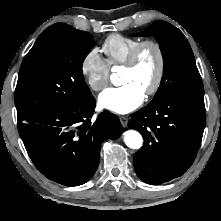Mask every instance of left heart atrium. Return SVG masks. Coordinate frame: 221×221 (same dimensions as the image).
<instances>
[{
	"mask_svg": "<svg viewBox=\"0 0 221 221\" xmlns=\"http://www.w3.org/2000/svg\"><path fill=\"white\" fill-rule=\"evenodd\" d=\"M144 97L145 92L137 84L130 82L107 88L99 95L98 103L101 108L126 114L139 107Z\"/></svg>",
	"mask_w": 221,
	"mask_h": 221,
	"instance_id": "39dd6f15",
	"label": "left heart atrium"
}]
</instances>
